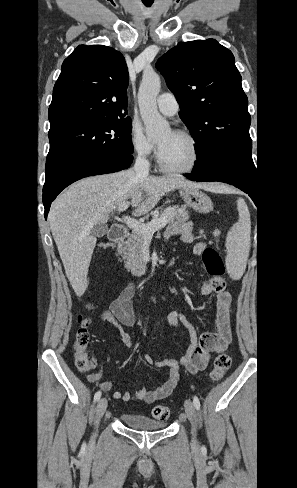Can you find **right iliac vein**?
<instances>
[{
	"instance_id": "1",
	"label": "right iliac vein",
	"mask_w": 297,
	"mask_h": 488,
	"mask_svg": "<svg viewBox=\"0 0 297 488\" xmlns=\"http://www.w3.org/2000/svg\"><path fill=\"white\" fill-rule=\"evenodd\" d=\"M107 408V400L105 398H102L98 401L97 407H96V417H95V424L96 426L99 424L100 418L103 416ZM96 436V433L94 434V438Z\"/></svg>"
}]
</instances>
